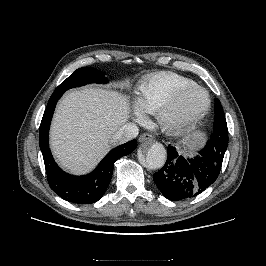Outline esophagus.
Returning <instances> with one entry per match:
<instances>
[{
  "label": "esophagus",
  "mask_w": 266,
  "mask_h": 266,
  "mask_svg": "<svg viewBox=\"0 0 266 266\" xmlns=\"http://www.w3.org/2000/svg\"><path fill=\"white\" fill-rule=\"evenodd\" d=\"M138 140H139V142H144V141L151 142L154 140V137L149 133H143L142 135H140Z\"/></svg>",
  "instance_id": "obj_1"
}]
</instances>
